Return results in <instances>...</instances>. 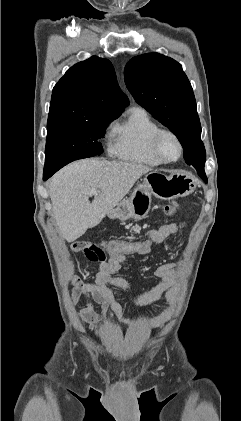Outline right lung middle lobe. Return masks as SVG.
<instances>
[{
	"label": "right lung middle lobe",
	"mask_w": 241,
	"mask_h": 421,
	"mask_svg": "<svg viewBox=\"0 0 241 421\" xmlns=\"http://www.w3.org/2000/svg\"><path fill=\"white\" fill-rule=\"evenodd\" d=\"M117 116L78 118L64 115H49L44 169H60L66 164L82 158L100 155L108 124Z\"/></svg>",
	"instance_id": "1"
}]
</instances>
